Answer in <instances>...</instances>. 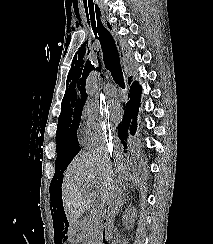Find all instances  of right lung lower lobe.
Listing matches in <instances>:
<instances>
[{
    "label": "right lung lower lobe",
    "mask_w": 213,
    "mask_h": 244,
    "mask_svg": "<svg viewBox=\"0 0 213 244\" xmlns=\"http://www.w3.org/2000/svg\"><path fill=\"white\" fill-rule=\"evenodd\" d=\"M129 102L126 105L123 121L118 125V136L124 149L132 146L130 134L134 135L137 130V115L140 106L141 86L137 81L130 86ZM127 152V151H124Z\"/></svg>",
    "instance_id": "98d812e1"
}]
</instances>
